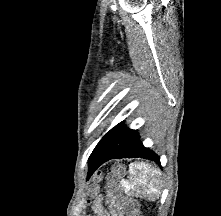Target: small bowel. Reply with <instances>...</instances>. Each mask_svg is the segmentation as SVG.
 Returning a JSON list of instances; mask_svg holds the SVG:
<instances>
[{
	"instance_id": "1",
	"label": "small bowel",
	"mask_w": 221,
	"mask_h": 216,
	"mask_svg": "<svg viewBox=\"0 0 221 216\" xmlns=\"http://www.w3.org/2000/svg\"><path fill=\"white\" fill-rule=\"evenodd\" d=\"M105 201L108 205V212L102 208L100 203H96L94 205V211L98 214V216H122L116 203L109 197L108 194L105 196Z\"/></svg>"
}]
</instances>
